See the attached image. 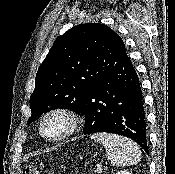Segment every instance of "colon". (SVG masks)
<instances>
[{
	"label": "colon",
	"mask_w": 175,
	"mask_h": 174,
	"mask_svg": "<svg viewBox=\"0 0 175 174\" xmlns=\"http://www.w3.org/2000/svg\"><path fill=\"white\" fill-rule=\"evenodd\" d=\"M25 174H40V170L36 166L26 168Z\"/></svg>",
	"instance_id": "obj_1"
}]
</instances>
